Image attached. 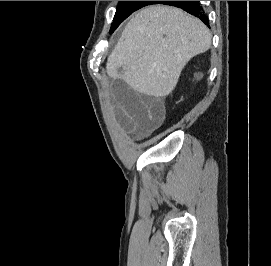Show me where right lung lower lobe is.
I'll return each instance as SVG.
<instances>
[{
    "mask_svg": "<svg viewBox=\"0 0 271 266\" xmlns=\"http://www.w3.org/2000/svg\"><path fill=\"white\" fill-rule=\"evenodd\" d=\"M158 3L179 7L198 17L204 24L209 26L208 18L204 14L200 1H158L157 4Z\"/></svg>",
    "mask_w": 271,
    "mask_h": 266,
    "instance_id": "right-lung-lower-lobe-1",
    "label": "right lung lower lobe"
}]
</instances>
